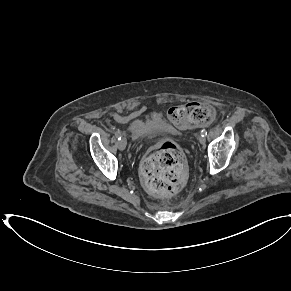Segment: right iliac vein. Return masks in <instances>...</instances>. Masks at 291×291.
Here are the masks:
<instances>
[{"mask_svg":"<svg viewBox=\"0 0 291 291\" xmlns=\"http://www.w3.org/2000/svg\"><path fill=\"white\" fill-rule=\"evenodd\" d=\"M127 140L125 137H122L118 142V148L119 150L123 151L126 148Z\"/></svg>","mask_w":291,"mask_h":291,"instance_id":"63e3f726","label":"right iliac vein"}]
</instances>
